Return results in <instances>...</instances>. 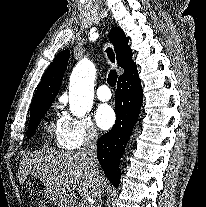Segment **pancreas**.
I'll use <instances>...</instances> for the list:
<instances>
[{"label":"pancreas","instance_id":"1","mask_svg":"<svg viewBox=\"0 0 206 207\" xmlns=\"http://www.w3.org/2000/svg\"><path fill=\"white\" fill-rule=\"evenodd\" d=\"M72 207H88V206H85L82 203H74Z\"/></svg>","mask_w":206,"mask_h":207}]
</instances>
